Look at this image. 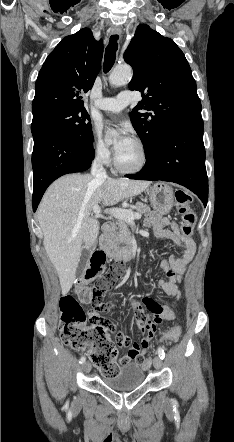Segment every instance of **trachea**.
<instances>
[{
  "label": "trachea",
  "instance_id": "obj_1",
  "mask_svg": "<svg viewBox=\"0 0 234 442\" xmlns=\"http://www.w3.org/2000/svg\"><path fill=\"white\" fill-rule=\"evenodd\" d=\"M118 39H119L118 35H112L110 37L109 44L106 47L104 64H103V69L105 73H107L115 63L116 52L118 49V43H117Z\"/></svg>",
  "mask_w": 234,
  "mask_h": 442
}]
</instances>
